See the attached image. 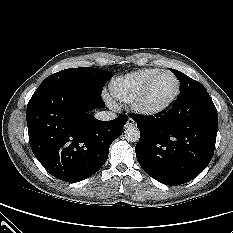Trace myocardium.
I'll use <instances>...</instances> for the list:
<instances>
[{
    "label": "myocardium",
    "instance_id": "f54148a6",
    "mask_svg": "<svg viewBox=\"0 0 233 233\" xmlns=\"http://www.w3.org/2000/svg\"><path fill=\"white\" fill-rule=\"evenodd\" d=\"M162 74H169L171 75L176 82V89L173 94V96L164 104L156 107L148 106L144 103L145 96L151 87L152 83ZM181 91V83L177 75L172 72L171 70H160L156 74H154L151 78L148 79V81L144 84V86L141 88V90L137 93V95L134 97V99L131 101V107L132 109L144 116H157L160 115L167 110H169L174 103L177 101Z\"/></svg>",
    "mask_w": 233,
    "mask_h": 233
}]
</instances>
